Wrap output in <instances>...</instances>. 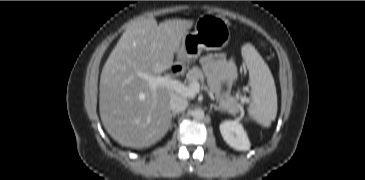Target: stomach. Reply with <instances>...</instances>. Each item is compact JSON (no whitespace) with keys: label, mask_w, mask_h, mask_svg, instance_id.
<instances>
[{"label":"stomach","mask_w":365,"mask_h":180,"mask_svg":"<svg viewBox=\"0 0 365 180\" xmlns=\"http://www.w3.org/2000/svg\"><path fill=\"white\" fill-rule=\"evenodd\" d=\"M229 23L217 16L204 15L198 18L194 31L187 33L181 43L182 56L179 63H189L198 58L203 50H221L230 41Z\"/></svg>","instance_id":"stomach-1"}]
</instances>
